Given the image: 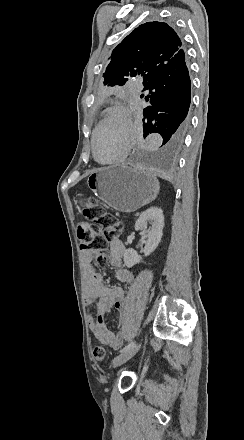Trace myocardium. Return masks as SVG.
Masks as SVG:
<instances>
[{
    "instance_id": "myocardium-1",
    "label": "myocardium",
    "mask_w": 244,
    "mask_h": 440,
    "mask_svg": "<svg viewBox=\"0 0 244 440\" xmlns=\"http://www.w3.org/2000/svg\"><path fill=\"white\" fill-rule=\"evenodd\" d=\"M114 111H119L121 113H123L128 121V124L131 127H133V113L126 108L125 106L122 105H118L116 107H114ZM113 110H109L105 115V118L102 119V122L99 123V126L94 130L93 135H92V142H91V149H92V156L94 158V160L100 164V165H120L127 157V149L125 147V139H126V134H127V130L120 128L119 129V134H120V146H119V154L117 157L115 158H110L107 160H100L97 157L96 154V150H95V141H96V137L98 135V133L100 132V130L102 129V127L105 125L104 123H110L112 120L110 119L115 112Z\"/></svg>"
}]
</instances>
